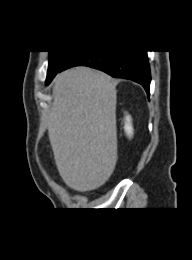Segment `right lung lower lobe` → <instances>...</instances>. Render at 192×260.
Returning a JSON list of instances; mask_svg holds the SVG:
<instances>
[{"label": "right lung lower lobe", "mask_w": 192, "mask_h": 260, "mask_svg": "<svg viewBox=\"0 0 192 260\" xmlns=\"http://www.w3.org/2000/svg\"><path fill=\"white\" fill-rule=\"evenodd\" d=\"M80 65L102 70L112 77L133 80L144 87L148 96L150 94L151 75L149 62L147 60V51L76 52L60 71ZM52 79L46 81V85H48Z\"/></svg>", "instance_id": "1"}]
</instances>
